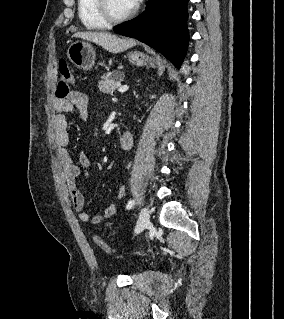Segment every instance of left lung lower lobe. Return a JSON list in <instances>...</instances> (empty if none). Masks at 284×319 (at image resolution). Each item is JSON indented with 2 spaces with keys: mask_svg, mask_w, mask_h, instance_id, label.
<instances>
[{
  "mask_svg": "<svg viewBox=\"0 0 284 319\" xmlns=\"http://www.w3.org/2000/svg\"><path fill=\"white\" fill-rule=\"evenodd\" d=\"M188 0H150L142 15L118 25V34L136 38L180 68L188 48Z\"/></svg>",
  "mask_w": 284,
  "mask_h": 319,
  "instance_id": "left-lung-lower-lobe-1",
  "label": "left lung lower lobe"
}]
</instances>
